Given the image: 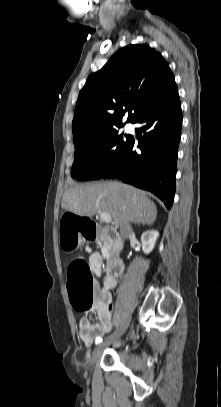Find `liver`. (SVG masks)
Masks as SVG:
<instances>
[{"mask_svg": "<svg viewBox=\"0 0 221 407\" xmlns=\"http://www.w3.org/2000/svg\"><path fill=\"white\" fill-rule=\"evenodd\" d=\"M61 207L79 216L109 213L118 228L124 221L151 225L157 208L145 192L121 182H102L75 186L67 190Z\"/></svg>", "mask_w": 221, "mask_h": 407, "instance_id": "1", "label": "liver"}]
</instances>
